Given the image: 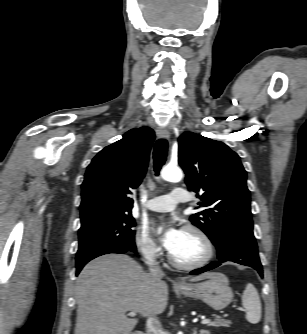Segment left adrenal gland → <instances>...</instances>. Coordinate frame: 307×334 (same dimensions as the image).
Returning a JSON list of instances; mask_svg holds the SVG:
<instances>
[{
  "instance_id": "a2214340",
  "label": "left adrenal gland",
  "mask_w": 307,
  "mask_h": 334,
  "mask_svg": "<svg viewBox=\"0 0 307 334\" xmlns=\"http://www.w3.org/2000/svg\"><path fill=\"white\" fill-rule=\"evenodd\" d=\"M193 334H197L196 329H194V333ZM199 334H210V332L207 331V330L201 329Z\"/></svg>"
}]
</instances>
